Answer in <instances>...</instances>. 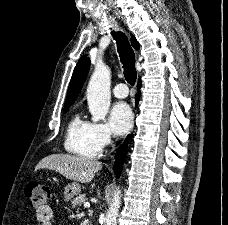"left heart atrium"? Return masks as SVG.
I'll list each match as a JSON object with an SVG mask.
<instances>
[{
    "mask_svg": "<svg viewBox=\"0 0 228 225\" xmlns=\"http://www.w3.org/2000/svg\"><path fill=\"white\" fill-rule=\"evenodd\" d=\"M133 115L126 103H117L110 111L111 127L116 135H124L130 128Z\"/></svg>",
    "mask_w": 228,
    "mask_h": 225,
    "instance_id": "left-heart-atrium-1",
    "label": "left heart atrium"
}]
</instances>
